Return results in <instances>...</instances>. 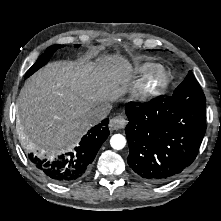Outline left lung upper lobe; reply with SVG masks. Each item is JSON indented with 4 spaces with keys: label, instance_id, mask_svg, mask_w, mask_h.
<instances>
[{
    "label": "left lung upper lobe",
    "instance_id": "left-lung-upper-lobe-1",
    "mask_svg": "<svg viewBox=\"0 0 221 221\" xmlns=\"http://www.w3.org/2000/svg\"><path fill=\"white\" fill-rule=\"evenodd\" d=\"M172 96L179 101L206 103L205 95L191 71H189L184 81L175 89Z\"/></svg>",
    "mask_w": 221,
    "mask_h": 221
}]
</instances>
